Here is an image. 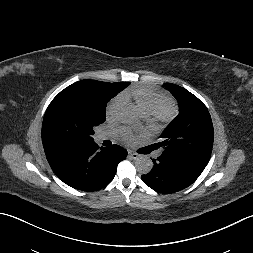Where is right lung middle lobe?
<instances>
[{
  "label": "right lung middle lobe",
  "mask_w": 253,
  "mask_h": 253,
  "mask_svg": "<svg viewBox=\"0 0 253 253\" xmlns=\"http://www.w3.org/2000/svg\"><path fill=\"white\" fill-rule=\"evenodd\" d=\"M130 82L82 80L62 90L50 103L42 123L44 147L93 143L94 129L106 119L108 101Z\"/></svg>",
  "instance_id": "obj_1"
}]
</instances>
